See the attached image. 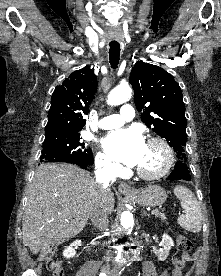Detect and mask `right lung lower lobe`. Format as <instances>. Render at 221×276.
I'll list each match as a JSON object with an SVG mask.
<instances>
[{
  "label": "right lung lower lobe",
  "instance_id": "1",
  "mask_svg": "<svg viewBox=\"0 0 221 276\" xmlns=\"http://www.w3.org/2000/svg\"><path fill=\"white\" fill-rule=\"evenodd\" d=\"M67 163L76 164V165L80 166L83 169H85L87 166L93 164V162H83V161H67Z\"/></svg>",
  "mask_w": 221,
  "mask_h": 276
}]
</instances>
